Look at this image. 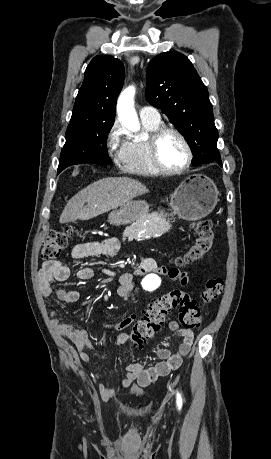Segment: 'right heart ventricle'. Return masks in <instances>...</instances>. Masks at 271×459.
Masks as SVG:
<instances>
[{
    "mask_svg": "<svg viewBox=\"0 0 271 459\" xmlns=\"http://www.w3.org/2000/svg\"><path fill=\"white\" fill-rule=\"evenodd\" d=\"M142 122L147 136L135 138L127 143L122 159V168L133 174L155 175L160 173V170L151 158L149 134L159 128L160 122L156 124L145 120Z\"/></svg>",
    "mask_w": 271,
    "mask_h": 459,
    "instance_id": "1",
    "label": "right heart ventricle"
}]
</instances>
